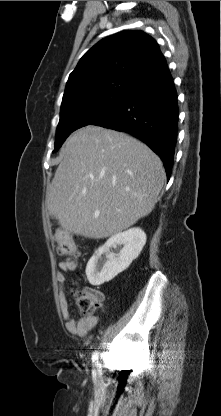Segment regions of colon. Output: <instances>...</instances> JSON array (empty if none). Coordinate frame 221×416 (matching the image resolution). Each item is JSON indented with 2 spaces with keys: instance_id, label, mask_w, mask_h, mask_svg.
<instances>
[{
  "instance_id": "colon-1",
  "label": "colon",
  "mask_w": 221,
  "mask_h": 416,
  "mask_svg": "<svg viewBox=\"0 0 221 416\" xmlns=\"http://www.w3.org/2000/svg\"><path fill=\"white\" fill-rule=\"evenodd\" d=\"M55 249L61 256L75 260L79 257V249L71 235L65 230H59L54 235ZM74 296L77 306L84 316H90L101 301V295L94 290L75 289Z\"/></svg>"
}]
</instances>
